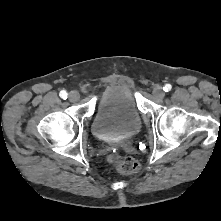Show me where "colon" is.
Here are the masks:
<instances>
[{
	"mask_svg": "<svg viewBox=\"0 0 221 221\" xmlns=\"http://www.w3.org/2000/svg\"><path fill=\"white\" fill-rule=\"evenodd\" d=\"M107 161L117 171L123 174H134L139 170L138 162L132 157L112 153L108 155Z\"/></svg>",
	"mask_w": 221,
	"mask_h": 221,
	"instance_id": "colon-1",
	"label": "colon"
}]
</instances>
